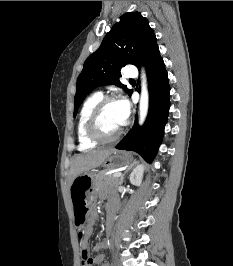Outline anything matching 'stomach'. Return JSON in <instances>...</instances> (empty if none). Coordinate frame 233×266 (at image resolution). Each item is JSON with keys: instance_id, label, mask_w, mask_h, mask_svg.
Segmentation results:
<instances>
[{"instance_id": "1", "label": "stomach", "mask_w": 233, "mask_h": 266, "mask_svg": "<svg viewBox=\"0 0 233 266\" xmlns=\"http://www.w3.org/2000/svg\"><path fill=\"white\" fill-rule=\"evenodd\" d=\"M130 162V156L124 151L113 150L104 160L107 169H116ZM95 171L85 172L74 179L70 185V195L73 208L75 228H86L88 220L85 215L90 206V200L95 197Z\"/></svg>"}]
</instances>
